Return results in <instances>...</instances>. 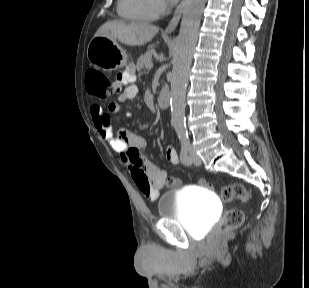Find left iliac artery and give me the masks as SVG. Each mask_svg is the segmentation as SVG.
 I'll list each match as a JSON object with an SVG mask.
<instances>
[{"label": "left iliac artery", "instance_id": "obj_1", "mask_svg": "<svg viewBox=\"0 0 309 288\" xmlns=\"http://www.w3.org/2000/svg\"><path fill=\"white\" fill-rule=\"evenodd\" d=\"M191 148L190 140L187 137L181 138V151H180V160L183 164H191L188 152Z\"/></svg>", "mask_w": 309, "mask_h": 288}]
</instances>
